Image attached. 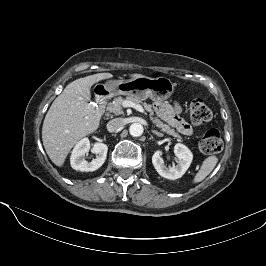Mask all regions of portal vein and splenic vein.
<instances>
[{
	"label": "portal vein and splenic vein",
	"instance_id": "1",
	"mask_svg": "<svg viewBox=\"0 0 266 266\" xmlns=\"http://www.w3.org/2000/svg\"><path fill=\"white\" fill-rule=\"evenodd\" d=\"M122 106L125 107V108L132 107V108L138 110L141 113H144L145 112L144 109H143V107L141 105L135 104V103H133L131 101H128V100H125L123 102Z\"/></svg>",
	"mask_w": 266,
	"mask_h": 266
}]
</instances>
